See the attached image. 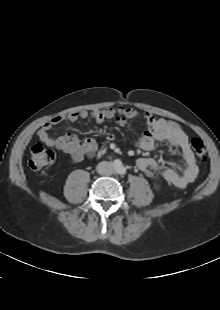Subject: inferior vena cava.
<instances>
[{
	"instance_id": "1",
	"label": "inferior vena cava",
	"mask_w": 220,
	"mask_h": 310,
	"mask_svg": "<svg viewBox=\"0 0 220 310\" xmlns=\"http://www.w3.org/2000/svg\"><path fill=\"white\" fill-rule=\"evenodd\" d=\"M97 172L101 175H111L113 173V165L110 162L102 161L97 165Z\"/></svg>"
}]
</instances>
